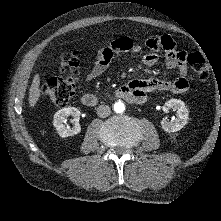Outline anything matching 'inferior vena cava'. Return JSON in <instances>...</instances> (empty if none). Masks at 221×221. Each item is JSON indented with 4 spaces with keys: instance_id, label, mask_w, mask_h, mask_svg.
Returning a JSON list of instances; mask_svg holds the SVG:
<instances>
[{
    "instance_id": "inferior-vena-cava-1",
    "label": "inferior vena cava",
    "mask_w": 221,
    "mask_h": 221,
    "mask_svg": "<svg viewBox=\"0 0 221 221\" xmlns=\"http://www.w3.org/2000/svg\"><path fill=\"white\" fill-rule=\"evenodd\" d=\"M97 115L101 118L108 117L111 114V109L108 105H100L96 109Z\"/></svg>"
}]
</instances>
